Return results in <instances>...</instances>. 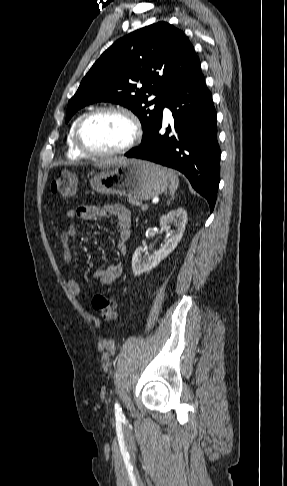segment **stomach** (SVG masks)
<instances>
[{
    "mask_svg": "<svg viewBox=\"0 0 287 486\" xmlns=\"http://www.w3.org/2000/svg\"><path fill=\"white\" fill-rule=\"evenodd\" d=\"M90 184L100 194H116L141 201L164 192L169 180L166 169L157 164L125 159L96 174Z\"/></svg>",
    "mask_w": 287,
    "mask_h": 486,
    "instance_id": "stomach-1",
    "label": "stomach"
}]
</instances>
